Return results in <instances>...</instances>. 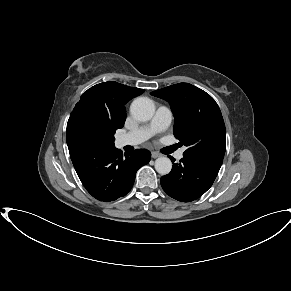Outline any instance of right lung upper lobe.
Instances as JSON below:
<instances>
[{"label":"right lung upper lobe","mask_w":291,"mask_h":291,"mask_svg":"<svg viewBox=\"0 0 291 291\" xmlns=\"http://www.w3.org/2000/svg\"><path fill=\"white\" fill-rule=\"evenodd\" d=\"M144 89L129 87L114 81L97 84L88 89L75 105L71 115L92 114L109 120L122 128L126 119L124 105Z\"/></svg>","instance_id":"right-lung-upper-lobe-1"}]
</instances>
